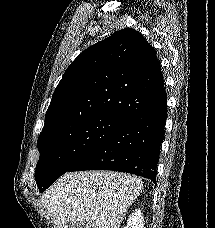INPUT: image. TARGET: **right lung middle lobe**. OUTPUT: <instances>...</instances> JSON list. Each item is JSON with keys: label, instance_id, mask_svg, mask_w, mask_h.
Instances as JSON below:
<instances>
[{"label": "right lung middle lobe", "instance_id": "dd1d6c3e", "mask_svg": "<svg viewBox=\"0 0 215 228\" xmlns=\"http://www.w3.org/2000/svg\"><path fill=\"white\" fill-rule=\"evenodd\" d=\"M124 120L100 115L41 133L37 143L40 158L35 172L40 192L49 188Z\"/></svg>", "mask_w": 215, "mask_h": 228}]
</instances>
